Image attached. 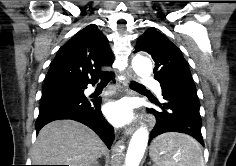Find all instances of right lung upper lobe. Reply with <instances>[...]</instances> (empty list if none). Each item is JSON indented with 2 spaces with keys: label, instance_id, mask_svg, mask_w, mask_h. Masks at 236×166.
<instances>
[{
  "label": "right lung upper lobe",
  "instance_id": "cb5924a9",
  "mask_svg": "<svg viewBox=\"0 0 236 166\" xmlns=\"http://www.w3.org/2000/svg\"><path fill=\"white\" fill-rule=\"evenodd\" d=\"M114 56L108 40L94 24L88 25L57 52L45 78V83L57 80L91 82L103 66H111Z\"/></svg>",
  "mask_w": 236,
  "mask_h": 166
}]
</instances>
